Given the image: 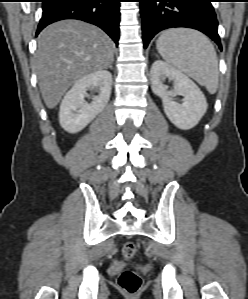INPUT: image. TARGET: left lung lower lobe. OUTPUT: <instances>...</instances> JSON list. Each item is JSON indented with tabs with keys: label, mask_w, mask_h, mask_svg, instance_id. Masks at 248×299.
I'll list each match as a JSON object with an SVG mask.
<instances>
[{
	"label": "left lung lower lobe",
	"mask_w": 248,
	"mask_h": 299,
	"mask_svg": "<svg viewBox=\"0 0 248 299\" xmlns=\"http://www.w3.org/2000/svg\"><path fill=\"white\" fill-rule=\"evenodd\" d=\"M213 0H139L144 48L159 31L188 27L208 35L221 48Z\"/></svg>",
	"instance_id": "0a47b994"
}]
</instances>
